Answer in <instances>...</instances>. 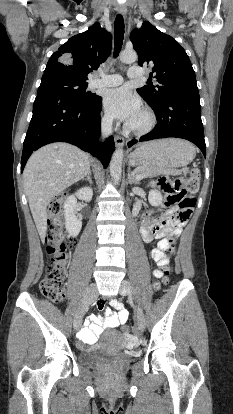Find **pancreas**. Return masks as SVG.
<instances>
[{"instance_id":"cf45deb5","label":"pancreas","mask_w":233,"mask_h":414,"mask_svg":"<svg viewBox=\"0 0 233 414\" xmlns=\"http://www.w3.org/2000/svg\"><path fill=\"white\" fill-rule=\"evenodd\" d=\"M161 173L162 172L153 170L149 167H139L134 171L135 176H142L143 178L155 177V176H158ZM170 173L171 174H178L179 172L178 171H173V172H170ZM184 173L186 174L187 172H184Z\"/></svg>"}]
</instances>
